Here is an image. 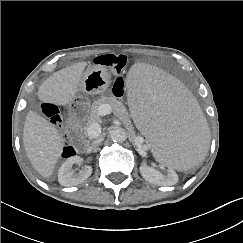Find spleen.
<instances>
[{
	"label": "spleen",
	"mask_w": 243,
	"mask_h": 243,
	"mask_svg": "<svg viewBox=\"0 0 243 243\" xmlns=\"http://www.w3.org/2000/svg\"><path fill=\"white\" fill-rule=\"evenodd\" d=\"M125 87L135 124L157 160L178 173L192 170L210 140L196 98L175 77L149 64L133 67Z\"/></svg>",
	"instance_id": "1"
}]
</instances>
